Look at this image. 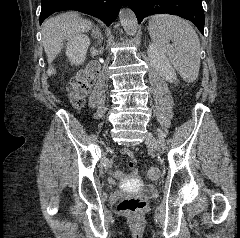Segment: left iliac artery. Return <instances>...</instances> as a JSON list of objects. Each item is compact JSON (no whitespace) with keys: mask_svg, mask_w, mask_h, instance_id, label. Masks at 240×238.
Listing matches in <instances>:
<instances>
[{"mask_svg":"<svg viewBox=\"0 0 240 238\" xmlns=\"http://www.w3.org/2000/svg\"><path fill=\"white\" fill-rule=\"evenodd\" d=\"M159 135L161 136L162 134L160 133ZM160 145H161V146H164V145H165V142H164V141H161V142H160Z\"/></svg>","mask_w":240,"mask_h":238,"instance_id":"1","label":"left iliac artery"}]
</instances>
